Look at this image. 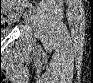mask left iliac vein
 Returning a JSON list of instances; mask_svg holds the SVG:
<instances>
[{
  "label": "left iliac vein",
  "instance_id": "1",
  "mask_svg": "<svg viewBox=\"0 0 93 83\" xmlns=\"http://www.w3.org/2000/svg\"><path fill=\"white\" fill-rule=\"evenodd\" d=\"M24 20L26 23L30 24V21H31V14L29 13V11H25L24 13Z\"/></svg>",
  "mask_w": 93,
  "mask_h": 83
}]
</instances>
